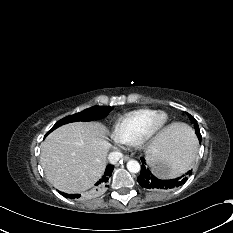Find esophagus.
<instances>
[{"label":"esophagus","mask_w":233,"mask_h":233,"mask_svg":"<svg viewBox=\"0 0 233 233\" xmlns=\"http://www.w3.org/2000/svg\"><path fill=\"white\" fill-rule=\"evenodd\" d=\"M129 159H130L129 156H123L124 161H128Z\"/></svg>","instance_id":"esophagus-1"}]
</instances>
